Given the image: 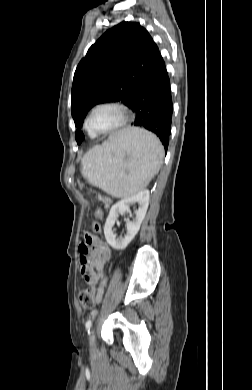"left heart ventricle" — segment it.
I'll use <instances>...</instances> for the list:
<instances>
[{"label":"left heart ventricle","instance_id":"obj_1","mask_svg":"<svg viewBox=\"0 0 252 390\" xmlns=\"http://www.w3.org/2000/svg\"><path fill=\"white\" fill-rule=\"evenodd\" d=\"M118 120V114L113 109L101 108L95 111L91 118V126L96 130H106Z\"/></svg>","mask_w":252,"mask_h":390}]
</instances>
